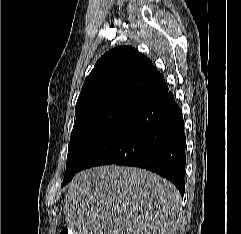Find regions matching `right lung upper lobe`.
Returning <instances> with one entry per match:
<instances>
[{"mask_svg":"<svg viewBox=\"0 0 241 234\" xmlns=\"http://www.w3.org/2000/svg\"><path fill=\"white\" fill-rule=\"evenodd\" d=\"M165 81L150 59L121 46L104 54L86 78L76 110L113 101L138 104Z\"/></svg>","mask_w":241,"mask_h":234,"instance_id":"obj_1","label":"right lung upper lobe"}]
</instances>
